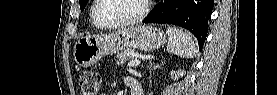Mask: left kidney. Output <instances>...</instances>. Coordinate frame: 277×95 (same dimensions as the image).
Instances as JSON below:
<instances>
[{"mask_svg":"<svg viewBox=\"0 0 277 95\" xmlns=\"http://www.w3.org/2000/svg\"><path fill=\"white\" fill-rule=\"evenodd\" d=\"M171 75H172V78L173 79H176L178 78L179 76H182L183 75V72L182 71H176V72H171ZM175 75V76H174Z\"/></svg>","mask_w":277,"mask_h":95,"instance_id":"obj_1","label":"left kidney"}]
</instances>
